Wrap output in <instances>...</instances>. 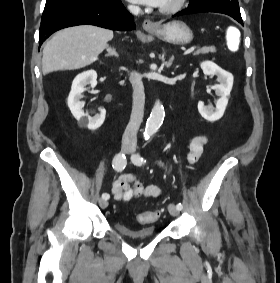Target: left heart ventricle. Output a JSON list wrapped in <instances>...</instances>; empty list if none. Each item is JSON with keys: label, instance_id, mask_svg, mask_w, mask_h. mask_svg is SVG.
I'll use <instances>...</instances> for the list:
<instances>
[{"label": "left heart ventricle", "instance_id": "1", "mask_svg": "<svg viewBox=\"0 0 280 283\" xmlns=\"http://www.w3.org/2000/svg\"><path fill=\"white\" fill-rule=\"evenodd\" d=\"M174 0H165L164 3L162 4V6H166L169 5L173 2Z\"/></svg>", "mask_w": 280, "mask_h": 283}]
</instances>
